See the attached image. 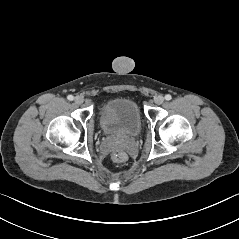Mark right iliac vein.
<instances>
[{"label": "right iliac vein", "mask_w": 239, "mask_h": 239, "mask_svg": "<svg viewBox=\"0 0 239 239\" xmlns=\"http://www.w3.org/2000/svg\"><path fill=\"white\" fill-rule=\"evenodd\" d=\"M75 103L80 105L83 103V98L80 97V96H76L75 99H74Z\"/></svg>", "instance_id": "1"}]
</instances>
